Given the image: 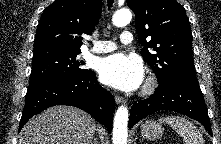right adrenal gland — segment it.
<instances>
[{"instance_id": "2a0ac1e0", "label": "right adrenal gland", "mask_w": 221, "mask_h": 144, "mask_svg": "<svg viewBox=\"0 0 221 144\" xmlns=\"http://www.w3.org/2000/svg\"><path fill=\"white\" fill-rule=\"evenodd\" d=\"M93 144H98V141L96 138L93 139Z\"/></svg>"}]
</instances>
